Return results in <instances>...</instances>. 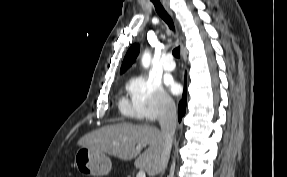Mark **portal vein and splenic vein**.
Instances as JSON below:
<instances>
[{"label":"portal vein and splenic vein","mask_w":287,"mask_h":177,"mask_svg":"<svg viewBox=\"0 0 287 177\" xmlns=\"http://www.w3.org/2000/svg\"><path fill=\"white\" fill-rule=\"evenodd\" d=\"M136 177H146V173L144 172V170H140Z\"/></svg>","instance_id":"portal-vein-and-splenic-vein-1"}]
</instances>
